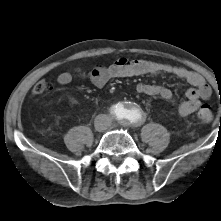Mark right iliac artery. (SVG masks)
Here are the masks:
<instances>
[{
    "label": "right iliac artery",
    "instance_id": "right-iliac-artery-1",
    "mask_svg": "<svg viewBox=\"0 0 221 221\" xmlns=\"http://www.w3.org/2000/svg\"><path fill=\"white\" fill-rule=\"evenodd\" d=\"M110 113L118 115L120 113V109L117 108V106H112L110 109Z\"/></svg>",
    "mask_w": 221,
    "mask_h": 221
}]
</instances>
